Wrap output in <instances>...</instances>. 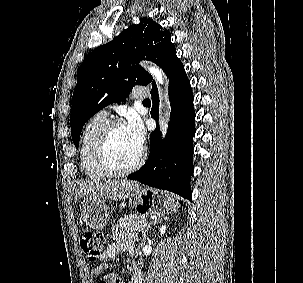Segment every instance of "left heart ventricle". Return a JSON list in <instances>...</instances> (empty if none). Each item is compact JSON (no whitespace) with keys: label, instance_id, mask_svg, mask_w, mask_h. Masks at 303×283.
<instances>
[{"label":"left heart ventricle","instance_id":"b2bd125f","mask_svg":"<svg viewBox=\"0 0 303 283\" xmlns=\"http://www.w3.org/2000/svg\"><path fill=\"white\" fill-rule=\"evenodd\" d=\"M140 151L141 149L133 143L124 126L113 130L109 141V155L116 167L130 166L135 162Z\"/></svg>","mask_w":303,"mask_h":283}]
</instances>
